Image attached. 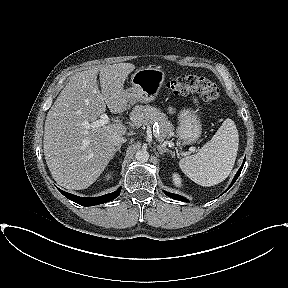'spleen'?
<instances>
[{
	"label": "spleen",
	"mask_w": 288,
	"mask_h": 288,
	"mask_svg": "<svg viewBox=\"0 0 288 288\" xmlns=\"http://www.w3.org/2000/svg\"><path fill=\"white\" fill-rule=\"evenodd\" d=\"M239 135L233 120L227 118L197 154L182 158V172L201 186H213L225 180L236 160Z\"/></svg>",
	"instance_id": "3e777b00"
}]
</instances>
